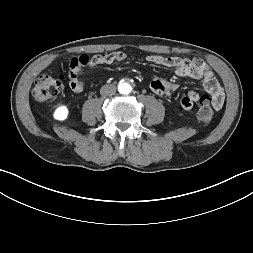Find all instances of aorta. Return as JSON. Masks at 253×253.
<instances>
[{
  "mask_svg": "<svg viewBox=\"0 0 253 253\" xmlns=\"http://www.w3.org/2000/svg\"><path fill=\"white\" fill-rule=\"evenodd\" d=\"M118 91L121 93V94H129L131 91H132V87L130 84L128 83H120L118 85Z\"/></svg>",
  "mask_w": 253,
  "mask_h": 253,
  "instance_id": "aorta-1",
  "label": "aorta"
}]
</instances>
